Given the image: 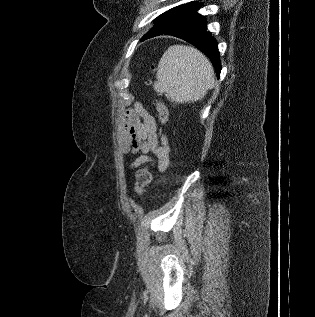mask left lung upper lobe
Here are the masks:
<instances>
[{"label": "left lung upper lobe", "mask_w": 315, "mask_h": 317, "mask_svg": "<svg viewBox=\"0 0 315 317\" xmlns=\"http://www.w3.org/2000/svg\"><path fill=\"white\" fill-rule=\"evenodd\" d=\"M195 4L197 3L194 1L188 4L180 5L158 16L155 19L156 24L154 25V27L142 37L141 41H144L143 39L146 40L149 37H154L164 33Z\"/></svg>", "instance_id": "left-lung-upper-lobe-1"}]
</instances>
